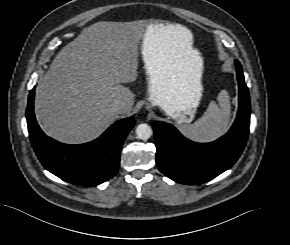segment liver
<instances>
[{
	"label": "liver",
	"mask_w": 290,
	"mask_h": 245,
	"mask_svg": "<svg viewBox=\"0 0 290 245\" xmlns=\"http://www.w3.org/2000/svg\"><path fill=\"white\" fill-rule=\"evenodd\" d=\"M152 26L144 32L134 23L99 22L67 44L36 88L35 114L43 131L64 143H83L98 137L119 113L128 114L135 94L124 83L137 79L138 45ZM157 35L176 70L196 72L200 53L186 27L159 24ZM118 100L125 105L122 112L113 109Z\"/></svg>",
	"instance_id": "obj_1"
}]
</instances>
